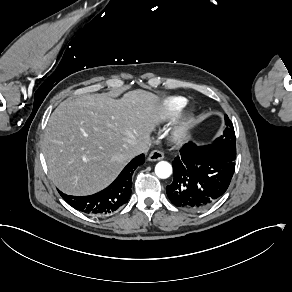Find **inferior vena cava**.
Returning <instances> with one entry per match:
<instances>
[{
	"instance_id": "1",
	"label": "inferior vena cava",
	"mask_w": 292,
	"mask_h": 292,
	"mask_svg": "<svg viewBox=\"0 0 292 292\" xmlns=\"http://www.w3.org/2000/svg\"><path fill=\"white\" fill-rule=\"evenodd\" d=\"M149 144H150V142L135 148L133 150V155L137 156V155L142 154V153H147L149 150Z\"/></svg>"
}]
</instances>
